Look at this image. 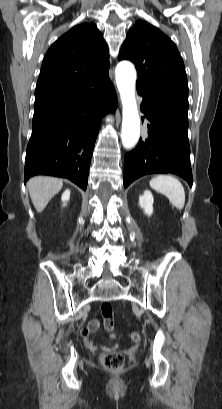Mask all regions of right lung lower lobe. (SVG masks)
I'll return each instance as SVG.
<instances>
[{
    "label": "right lung lower lobe",
    "instance_id": "98d812e1",
    "mask_svg": "<svg viewBox=\"0 0 222 409\" xmlns=\"http://www.w3.org/2000/svg\"><path fill=\"white\" fill-rule=\"evenodd\" d=\"M116 107L108 75L91 81L77 97L35 107L24 182L34 175H51L68 178L86 190L101 118Z\"/></svg>",
    "mask_w": 222,
    "mask_h": 409
}]
</instances>
